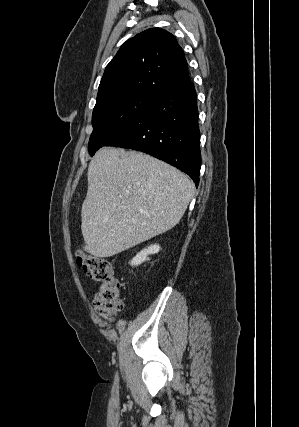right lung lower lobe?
<instances>
[{
  "instance_id": "98d812e1",
  "label": "right lung lower lobe",
  "mask_w": 299,
  "mask_h": 427,
  "mask_svg": "<svg viewBox=\"0 0 299 427\" xmlns=\"http://www.w3.org/2000/svg\"><path fill=\"white\" fill-rule=\"evenodd\" d=\"M105 146L150 154L187 173L198 186L201 152L194 85L190 82L156 97L125 131Z\"/></svg>"
}]
</instances>
